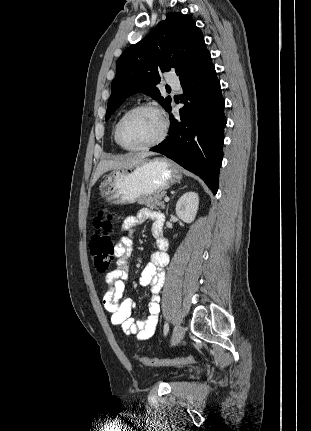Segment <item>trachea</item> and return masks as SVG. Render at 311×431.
<instances>
[{
	"mask_svg": "<svg viewBox=\"0 0 311 431\" xmlns=\"http://www.w3.org/2000/svg\"><path fill=\"white\" fill-rule=\"evenodd\" d=\"M166 90H171V88L170 87H166Z\"/></svg>",
	"mask_w": 311,
	"mask_h": 431,
	"instance_id": "1",
	"label": "trachea"
}]
</instances>
